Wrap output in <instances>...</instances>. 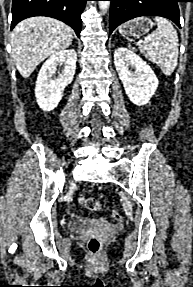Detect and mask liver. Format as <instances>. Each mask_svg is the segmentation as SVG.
Returning a JSON list of instances; mask_svg holds the SVG:
<instances>
[{"label": "liver", "mask_w": 193, "mask_h": 287, "mask_svg": "<svg viewBox=\"0 0 193 287\" xmlns=\"http://www.w3.org/2000/svg\"><path fill=\"white\" fill-rule=\"evenodd\" d=\"M73 31L65 23L49 17H31L12 31L11 46L15 65L23 78H28L47 57L67 49Z\"/></svg>", "instance_id": "6515ba94"}]
</instances>
